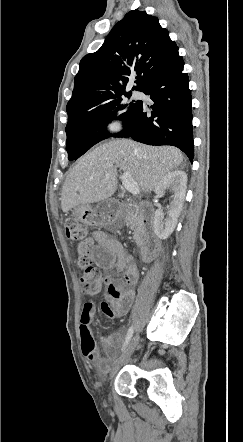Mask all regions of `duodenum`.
Wrapping results in <instances>:
<instances>
[{"label":"duodenum","instance_id":"duodenum-1","mask_svg":"<svg viewBox=\"0 0 243 442\" xmlns=\"http://www.w3.org/2000/svg\"><path fill=\"white\" fill-rule=\"evenodd\" d=\"M138 221L143 235L140 257L142 261L147 262L158 247V238L154 231L151 209L148 205L141 204L139 206Z\"/></svg>","mask_w":243,"mask_h":442}]
</instances>
